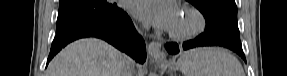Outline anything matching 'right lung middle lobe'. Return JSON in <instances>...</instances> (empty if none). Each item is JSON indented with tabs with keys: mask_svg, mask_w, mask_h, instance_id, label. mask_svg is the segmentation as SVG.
I'll use <instances>...</instances> for the list:
<instances>
[{
	"mask_svg": "<svg viewBox=\"0 0 287 76\" xmlns=\"http://www.w3.org/2000/svg\"><path fill=\"white\" fill-rule=\"evenodd\" d=\"M123 13L107 0H60L56 33L61 34L83 24L114 19Z\"/></svg>",
	"mask_w": 287,
	"mask_h": 76,
	"instance_id": "right-lung-middle-lobe-1",
	"label": "right lung middle lobe"
}]
</instances>
